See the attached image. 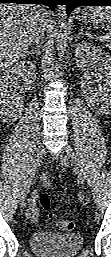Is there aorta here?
Instances as JSON below:
<instances>
[{"mask_svg": "<svg viewBox=\"0 0 111 257\" xmlns=\"http://www.w3.org/2000/svg\"><path fill=\"white\" fill-rule=\"evenodd\" d=\"M67 21V13H66V6L65 5H59L58 7V26L60 28L59 33L57 34V38L59 41L58 45V56L62 58L65 53L66 49V34H65V25Z\"/></svg>", "mask_w": 111, "mask_h": 257, "instance_id": "obj_1", "label": "aorta"}]
</instances>
